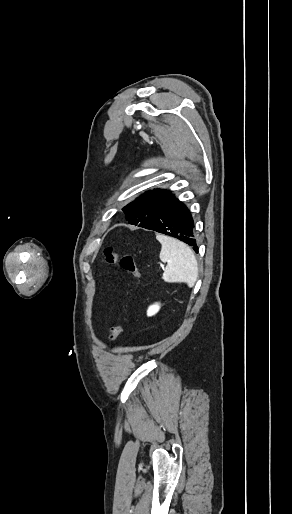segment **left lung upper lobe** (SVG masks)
Segmentation results:
<instances>
[{"label":"left lung upper lobe","instance_id":"left-lung-upper-lobe-1","mask_svg":"<svg viewBox=\"0 0 292 514\" xmlns=\"http://www.w3.org/2000/svg\"><path fill=\"white\" fill-rule=\"evenodd\" d=\"M170 191L154 189L146 191L122 208L128 223L145 228L161 213L166 202L172 197Z\"/></svg>","mask_w":292,"mask_h":514}]
</instances>
